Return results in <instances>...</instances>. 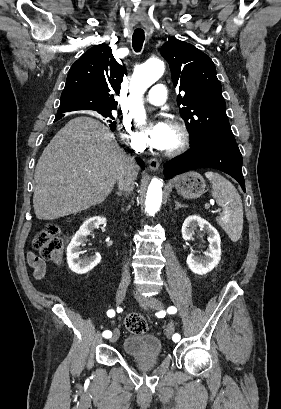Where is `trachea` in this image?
Listing matches in <instances>:
<instances>
[{"instance_id": "3493384b", "label": "trachea", "mask_w": 281, "mask_h": 409, "mask_svg": "<svg viewBox=\"0 0 281 409\" xmlns=\"http://www.w3.org/2000/svg\"><path fill=\"white\" fill-rule=\"evenodd\" d=\"M145 35L143 31H135L132 36V46L135 52H140L144 43Z\"/></svg>"}]
</instances>
